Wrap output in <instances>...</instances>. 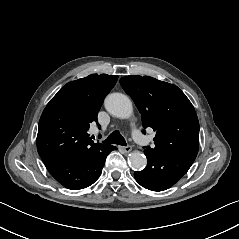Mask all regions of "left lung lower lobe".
<instances>
[{
  "instance_id": "0a47b994",
  "label": "left lung lower lobe",
  "mask_w": 239,
  "mask_h": 239,
  "mask_svg": "<svg viewBox=\"0 0 239 239\" xmlns=\"http://www.w3.org/2000/svg\"><path fill=\"white\" fill-rule=\"evenodd\" d=\"M148 164L134 172L136 181L146 189L163 191L173 186L191 167L196 155L185 152L155 153L145 149Z\"/></svg>"
}]
</instances>
